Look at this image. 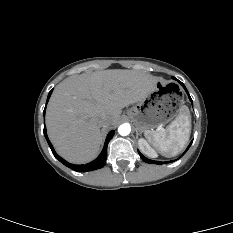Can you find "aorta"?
I'll use <instances>...</instances> for the list:
<instances>
[{
	"instance_id": "aorta-1",
	"label": "aorta",
	"mask_w": 233,
	"mask_h": 233,
	"mask_svg": "<svg viewBox=\"0 0 233 233\" xmlns=\"http://www.w3.org/2000/svg\"><path fill=\"white\" fill-rule=\"evenodd\" d=\"M130 132H131V127L127 123H124V124L120 125L119 128H118V133L121 136H127V135L130 134Z\"/></svg>"
}]
</instances>
